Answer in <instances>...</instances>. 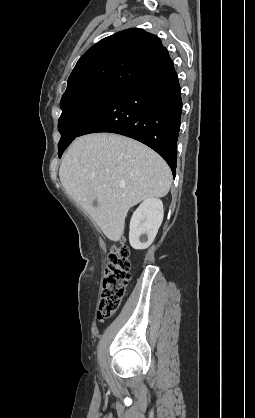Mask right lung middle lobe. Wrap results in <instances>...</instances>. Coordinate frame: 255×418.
Masks as SVG:
<instances>
[{"mask_svg": "<svg viewBox=\"0 0 255 418\" xmlns=\"http://www.w3.org/2000/svg\"><path fill=\"white\" fill-rule=\"evenodd\" d=\"M126 86L117 82L96 81L76 86L63 94L60 102L62 114L58 121L61 133L59 157L89 121Z\"/></svg>", "mask_w": 255, "mask_h": 418, "instance_id": "right-lung-middle-lobe-1", "label": "right lung middle lobe"}]
</instances>
